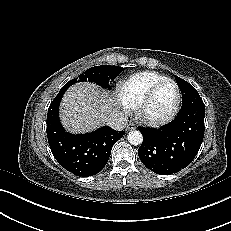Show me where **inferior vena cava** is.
<instances>
[{"instance_id": "1", "label": "inferior vena cava", "mask_w": 231, "mask_h": 231, "mask_svg": "<svg viewBox=\"0 0 231 231\" xmlns=\"http://www.w3.org/2000/svg\"><path fill=\"white\" fill-rule=\"evenodd\" d=\"M128 123V118L122 112L113 113L106 119V124L114 130H123Z\"/></svg>"}]
</instances>
